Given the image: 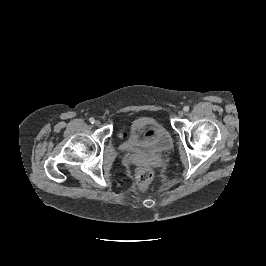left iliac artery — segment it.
Listing matches in <instances>:
<instances>
[{"label":"left iliac artery","instance_id":"left-iliac-artery-1","mask_svg":"<svg viewBox=\"0 0 266 266\" xmlns=\"http://www.w3.org/2000/svg\"><path fill=\"white\" fill-rule=\"evenodd\" d=\"M183 110H184V112H188V111H189V106H185V107L183 108Z\"/></svg>","mask_w":266,"mask_h":266}]
</instances>
